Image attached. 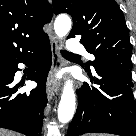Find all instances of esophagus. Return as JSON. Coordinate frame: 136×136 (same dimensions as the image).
<instances>
[{
	"mask_svg": "<svg viewBox=\"0 0 136 136\" xmlns=\"http://www.w3.org/2000/svg\"><path fill=\"white\" fill-rule=\"evenodd\" d=\"M49 38L52 52V66L46 82V91L48 97L52 98L60 89V82L56 78V73L63 66V60L60 55L61 41L52 32L49 34Z\"/></svg>",
	"mask_w": 136,
	"mask_h": 136,
	"instance_id": "obj_1",
	"label": "esophagus"
}]
</instances>
